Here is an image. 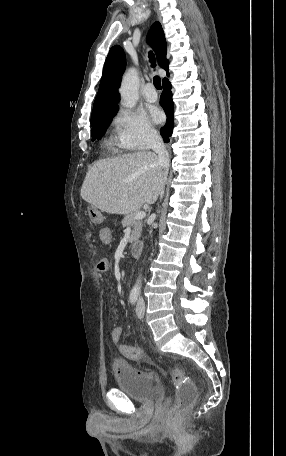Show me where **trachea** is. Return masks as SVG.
Segmentation results:
<instances>
[{
  "label": "trachea",
  "instance_id": "1",
  "mask_svg": "<svg viewBox=\"0 0 286 456\" xmlns=\"http://www.w3.org/2000/svg\"><path fill=\"white\" fill-rule=\"evenodd\" d=\"M149 61L151 63V66L152 67H155V58H154V54L152 52L149 53ZM154 86L157 90H161L162 89V86H161V80H160V77L159 76H155L154 77Z\"/></svg>",
  "mask_w": 286,
  "mask_h": 456
}]
</instances>
